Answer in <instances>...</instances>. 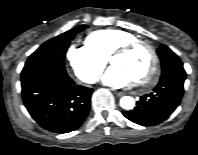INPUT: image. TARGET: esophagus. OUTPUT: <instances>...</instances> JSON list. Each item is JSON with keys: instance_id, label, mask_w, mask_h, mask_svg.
I'll return each instance as SVG.
<instances>
[{"instance_id": "esophagus-1", "label": "esophagus", "mask_w": 198, "mask_h": 155, "mask_svg": "<svg viewBox=\"0 0 198 155\" xmlns=\"http://www.w3.org/2000/svg\"><path fill=\"white\" fill-rule=\"evenodd\" d=\"M115 94L120 97V96H123L125 93L124 92H116Z\"/></svg>"}]
</instances>
